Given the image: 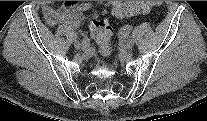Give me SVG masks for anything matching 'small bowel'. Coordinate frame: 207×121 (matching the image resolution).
<instances>
[{"instance_id":"c3829d8e","label":"small bowel","mask_w":207,"mask_h":121,"mask_svg":"<svg viewBox=\"0 0 207 121\" xmlns=\"http://www.w3.org/2000/svg\"><path fill=\"white\" fill-rule=\"evenodd\" d=\"M117 1L109 2L113 7ZM92 9L91 3H81L79 1H64L58 8L53 1H44L42 12L46 22L51 26L65 25L69 28L77 27L85 15ZM97 14H94L95 19Z\"/></svg>"}]
</instances>
